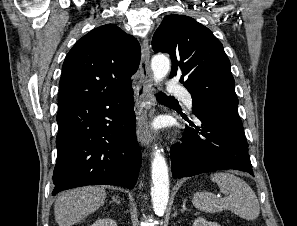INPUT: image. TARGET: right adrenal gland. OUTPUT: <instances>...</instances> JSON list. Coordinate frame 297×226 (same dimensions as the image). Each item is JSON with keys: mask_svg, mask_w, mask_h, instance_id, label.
<instances>
[{"mask_svg": "<svg viewBox=\"0 0 297 226\" xmlns=\"http://www.w3.org/2000/svg\"><path fill=\"white\" fill-rule=\"evenodd\" d=\"M112 201L115 202V203H117V204H121V202L118 201L115 197L112 198Z\"/></svg>", "mask_w": 297, "mask_h": 226, "instance_id": "obj_1", "label": "right adrenal gland"}]
</instances>
